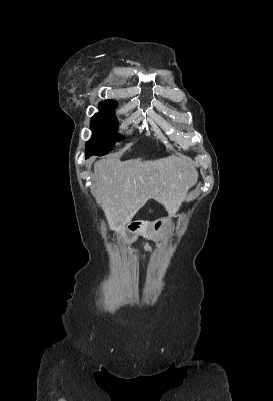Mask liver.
<instances>
[{"label":"liver","mask_w":273,"mask_h":401,"mask_svg":"<svg viewBox=\"0 0 273 401\" xmlns=\"http://www.w3.org/2000/svg\"><path fill=\"white\" fill-rule=\"evenodd\" d=\"M92 194L102 207L109 229L115 233L125 227L141 207L155 198L169 217L185 201L186 194L198 180V170L186 156H166L158 160H120L107 156L94 164Z\"/></svg>","instance_id":"1"}]
</instances>
